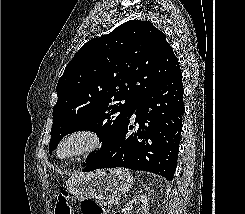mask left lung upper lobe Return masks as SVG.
Segmentation results:
<instances>
[{
  "label": "left lung upper lobe",
  "instance_id": "1",
  "mask_svg": "<svg viewBox=\"0 0 245 214\" xmlns=\"http://www.w3.org/2000/svg\"><path fill=\"white\" fill-rule=\"evenodd\" d=\"M178 64L165 34L149 21H127L85 43L58 80L49 153L79 130L97 133L100 151L108 147L140 100Z\"/></svg>",
  "mask_w": 245,
  "mask_h": 214
}]
</instances>
